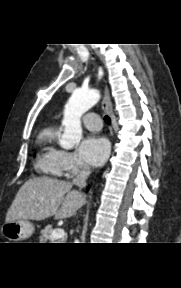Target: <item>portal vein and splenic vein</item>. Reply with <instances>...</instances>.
<instances>
[{
  "label": "portal vein and splenic vein",
  "instance_id": "obj_1",
  "mask_svg": "<svg viewBox=\"0 0 181 288\" xmlns=\"http://www.w3.org/2000/svg\"><path fill=\"white\" fill-rule=\"evenodd\" d=\"M64 235H65L64 229L58 228L52 232L51 239L52 240H58V239L64 237Z\"/></svg>",
  "mask_w": 181,
  "mask_h": 288
}]
</instances>
